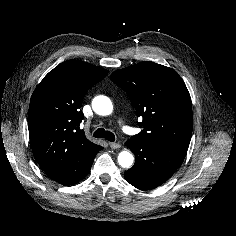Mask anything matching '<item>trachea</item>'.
<instances>
[{"instance_id": "obj_1", "label": "trachea", "mask_w": 236, "mask_h": 236, "mask_svg": "<svg viewBox=\"0 0 236 236\" xmlns=\"http://www.w3.org/2000/svg\"><path fill=\"white\" fill-rule=\"evenodd\" d=\"M94 137L96 138H105L108 141L114 142L115 141V135L108 130H105L104 128H98L94 134Z\"/></svg>"}]
</instances>
